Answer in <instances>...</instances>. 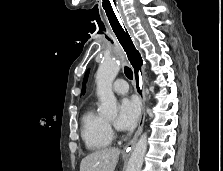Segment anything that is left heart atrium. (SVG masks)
<instances>
[{
    "mask_svg": "<svg viewBox=\"0 0 223 171\" xmlns=\"http://www.w3.org/2000/svg\"><path fill=\"white\" fill-rule=\"evenodd\" d=\"M140 115V105L136 98H123L115 125L119 130L128 131L135 127Z\"/></svg>",
    "mask_w": 223,
    "mask_h": 171,
    "instance_id": "obj_1",
    "label": "left heart atrium"
}]
</instances>
